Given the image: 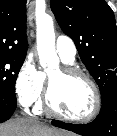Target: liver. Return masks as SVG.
<instances>
[{"label":"liver","mask_w":117,"mask_h":136,"mask_svg":"<svg viewBox=\"0 0 117 136\" xmlns=\"http://www.w3.org/2000/svg\"><path fill=\"white\" fill-rule=\"evenodd\" d=\"M0 136H69V134L29 120L12 119L0 124Z\"/></svg>","instance_id":"obj_1"}]
</instances>
